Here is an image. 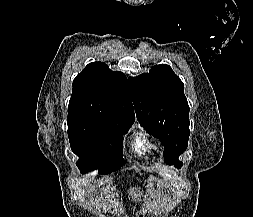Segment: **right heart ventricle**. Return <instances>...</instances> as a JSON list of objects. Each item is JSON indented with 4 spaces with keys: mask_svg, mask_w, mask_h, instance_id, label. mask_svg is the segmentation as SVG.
Segmentation results:
<instances>
[{
    "mask_svg": "<svg viewBox=\"0 0 253 217\" xmlns=\"http://www.w3.org/2000/svg\"><path fill=\"white\" fill-rule=\"evenodd\" d=\"M131 150L139 156L149 157L156 153L157 146L148 135L143 132H137L132 138Z\"/></svg>",
    "mask_w": 253,
    "mask_h": 217,
    "instance_id": "e07e8e85",
    "label": "right heart ventricle"
}]
</instances>
